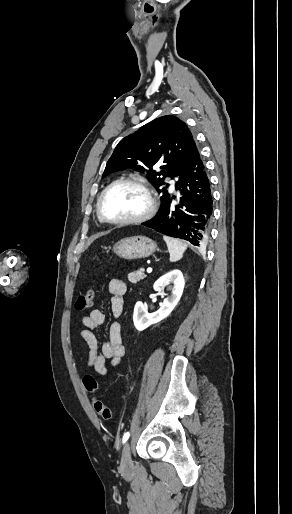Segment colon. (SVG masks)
Listing matches in <instances>:
<instances>
[{
	"label": "colon",
	"mask_w": 292,
	"mask_h": 514,
	"mask_svg": "<svg viewBox=\"0 0 292 514\" xmlns=\"http://www.w3.org/2000/svg\"><path fill=\"white\" fill-rule=\"evenodd\" d=\"M94 297V288L88 287L80 294L77 299V310L84 311L89 309L93 305ZM83 383L85 388L88 389V393L90 395H95L97 393V382L90 373H85L83 375ZM94 408L105 419H109L112 416L111 409L107 405L103 404L100 400H96L94 402Z\"/></svg>",
	"instance_id": "obj_1"
}]
</instances>
